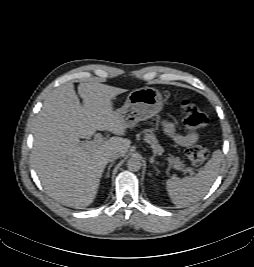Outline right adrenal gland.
I'll list each match as a JSON object with an SVG mask.
<instances>
[{"label":"right adrenal gland","mask_w":254,"mask_h":267,"mask_svg":"<svg viewBox=\"0 0 254 267\" xmlns=\"http://www.w3.org/2000/svg\"><path fill=\"white\" fill-rule=\"evenodd\" d=\"M113 164H114V162H112V163H110V165L108 166V168H107V172H106V178H108L109 176H110V169H111V167L113 166Z\"/></svg>","instance_id":"1"}]
</instances>
